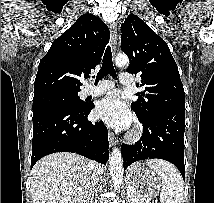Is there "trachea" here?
Segmentation results:
<instances>
[{"label": "trachea", "mask_w": 214, "mask_h": 203, "mask_svg": "<svg viewBox=\"0 0 214 203\" xmlns=\"http://www.w3.org/2000/svg\"><path fill=\"white\" fill-rule=\"evenodd\" d=\"M107 74H109L113 78H116V72L112 62V52L110 46H107L106 48L102 67L96 76L95 85H97V83L102 80Z\"/></svg>", "instance_id": "1"}]
</instances>
